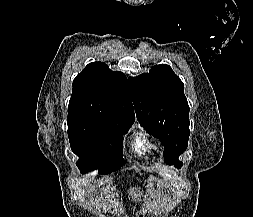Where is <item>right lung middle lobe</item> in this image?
I'll return each mask as SVG.
<instances>
[{"instance_id":"obj_1","label":"right lung middle lobe","mask_w":253,"mask_h":217,"mask_svg":"<svg viewBox=\"0 0 253 217\" xmlns=\"http://www.w3.org/2000/svg\"><path fill=\"white\" fill-rule=\"evenodd\" d=\"M133 122L68 115V137L79 157L81 173L99 169V174L117 171L123 165V135Z\"/></svg>"}]
</instances>
